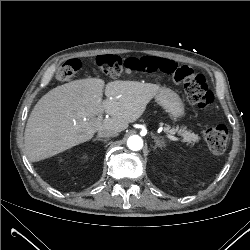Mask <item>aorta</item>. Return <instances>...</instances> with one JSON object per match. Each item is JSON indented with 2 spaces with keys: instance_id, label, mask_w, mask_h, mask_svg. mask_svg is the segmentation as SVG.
<instances>
[{
  "instance_id": "obj_1",
  "label": "aorta",
  "mask_w": 250,
  "mask_h": 250,
  "mask_svg": "<svg viewBox=\"0 0 250 250\" xmlns=\"http://www.w3.org/2000/svg\"><path fill=\"white\" fill-rule=\"evenodd\" d=\"M128 148L132 151L141 150L143 147V140L138 135H132L127 140Z\"/></svg>"
}]
</instances>
